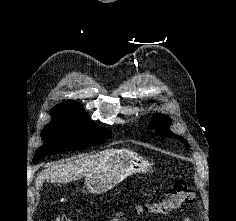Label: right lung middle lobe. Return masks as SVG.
Returning a JSON list of instances; mask_svg holds the SVG:
<instances>
[{
  "label": "right lung middle lobe",
  "mask_w": 236,
  "mask_h": 221,
  "mask_svg": "<svg viewBox=\"0 0 236 221\" xmlns=\"http://www.w3.org/2000/svg\"><path fill=\"white\" fill-rule=\"evenodd\" d=\"M50 115L51 122L41 132L44 144L36 151L34 163L47 155L104 143L111 137L110 130L94 124L83 111L54 107Z\"/></svg>",
  "instance_id": "dd1d6c3e"
}]
</instances>
